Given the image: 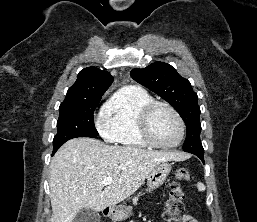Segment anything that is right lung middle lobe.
Returning <instances> with one entry per match:
<instances>
[{
    "label": "right lung middle lobe",
    "instance_id": "1",
    "mask_svg": "<svg viewBox=\"0 0 257 222\" xmlns=\"http://www.w3.org/2000/svg\"><path fill=\"white\" fill-rule=\"evenodd\" d=\"M102 96L64 100L59 107L53 149L76 137H96L93 113Z\"/></svg>",
    "mask_w": 257,
    "mask_h": 222
}]
</instances>
